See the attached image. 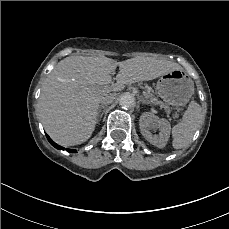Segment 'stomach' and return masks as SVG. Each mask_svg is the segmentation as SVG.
Masks as SVG:
<instances>
[{"mask_svg": "<svg viewBox=\"0 0 229 229\" xmlns=\"http://www.w3.org/2000/svg\"><path fill=\"white\" fill-rule=\"evenodd\" d=\"M194 92V82L182 69H175L162 75L156 86L159 97L174 107H183L188 104Z\"/></svg>", "mask_w": 229, "mask_h": 229, "instance_id": "1", "label": "stomach"}]
</instances>
